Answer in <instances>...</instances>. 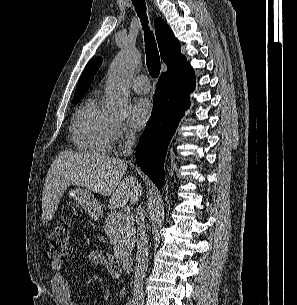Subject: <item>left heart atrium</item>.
<instances>
[{"instance_id":"obj_1","label":"left heart atrium","mask_w":297,"mask_h":305,"mask_svg":"<svg viewBox=\"0 0 297 305\" xmlns=\"http://www.w3.org/2000/svg\"><path fill=\"white\" fill-rule=\"evenodd\" d=\"M153 106L149 99L140 97L130 106V123L134 128H142L152 115Z\"/></svg>"}]
</instances>
